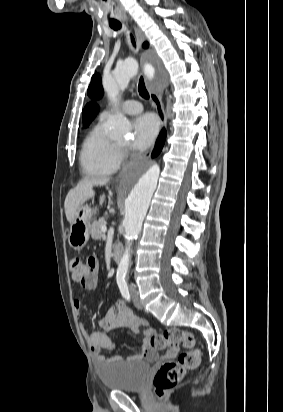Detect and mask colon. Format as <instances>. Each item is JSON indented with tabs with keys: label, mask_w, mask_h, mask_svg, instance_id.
<instances>
[{
	"label": "colon",
	"mask_w": 283,
	"mask_h": 412,
	"mask_svg": "<svg viewBox=\"0 0 283 412\" xmlns=\"http://www.w3.org/2000/svg\"><path fill=\"white\" fill-rule=\"evenodd\" d=\"M98 268L97 259L93 256L83 261L80 258H73L69 262V271L72 278L81 281ZM150 346L153 349L161 350L166 347H183L182 352L176 360L164 363L153 379V386L158 397L162 398L166 393L175 387L183 378L186 371L195 369L201 361L200 351L195 348V337L193 333L170 328L160 334H153L150 337Z\"/></svg>",
	"instance_id": "colon-1"
}]
</instances>
